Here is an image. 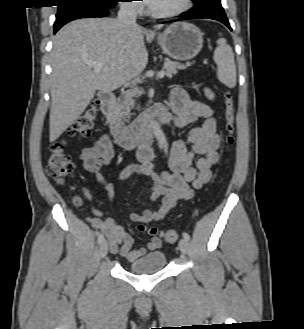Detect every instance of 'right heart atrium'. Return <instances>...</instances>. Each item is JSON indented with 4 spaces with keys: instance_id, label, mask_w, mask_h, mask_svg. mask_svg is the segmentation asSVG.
<instances>
[{
    "instance_id": "obj_1",
    "label": "right heart atrium",
    "mask_w": 304,
    "mask_h": 329,
    "mask_svg": "<svg viewBox=\"0 0 304 329\" xmlns=\"http://www.w3.org/2000/svg\"><path fill=\"white\" fill-rule=\"evenodd\" d=\"M125 3L124 4V8L134 14H139L143 11V4L141 2V0H124Z\"/></svg>"
}]
</instances>
